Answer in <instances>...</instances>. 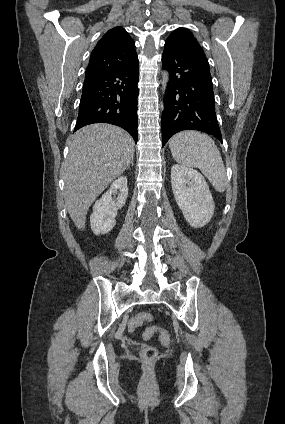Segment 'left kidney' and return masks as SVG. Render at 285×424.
<instances>
[{
  "mask_svg": "<svg viewBox=\"0 0 285 424\" xmlns=\"http://www.w3.org/2000/svg\"><path fill=\"white\" fill-rule=\"evenodd\" d=\"M171 184L186 221L195 228L206 225L214 214L215 204L202 174L183 165H173Z\"/></svg>",
  "mask_w": 285,
  "mask_h": 424,
  "instance_id": "obj_1",
  "label": "left kidney"
}]
</instances>
